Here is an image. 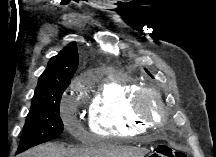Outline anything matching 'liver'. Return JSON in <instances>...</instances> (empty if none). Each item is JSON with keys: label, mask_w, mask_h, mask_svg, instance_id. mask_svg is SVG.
<instances>
[{"label": "liver", "mask_w": 216, "mask_h": 157, "mask_svg": "<svg viewBox=\"0 0 216 157\" xmlns=\"http://www.w3.org/2000/svg\"><path fill=\"white\" fill-rule=\"evenodd\" d=\"M146 153L144 149L105 143L86 149H66L62 145L47 143L25 152L22 157H143Z\"/></svg>", "instance_id": "1"}]
</instances>
